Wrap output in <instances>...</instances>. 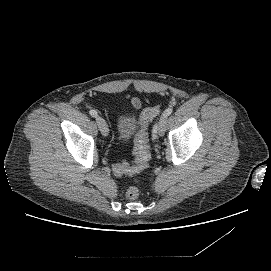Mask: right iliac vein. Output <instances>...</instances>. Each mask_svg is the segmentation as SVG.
Masks as SVG:
<instances>
[{"label": "right iliac vein", "instance_id": "obj_1", "mask_svg": "<svg viewBox=\"0 0 271 271\" xmlns=\"http://www.w3.org/2000/svg\"><path fill=\"white\" fill-rule=\"evenodd\" d=\"M96 122L102 135L107 136L109 134V129L106 121L102 117L98 116L96 118Z\"/></svg>", "mask_w": 271, "mask_h": 271}]
</instances>
